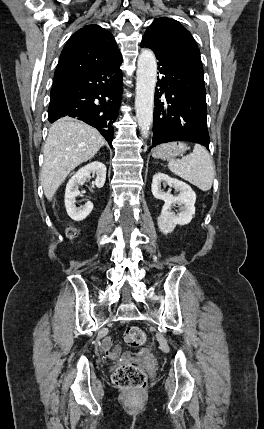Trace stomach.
<instances>
[{
    "label": "stomach",
    "mask_w": 264,
    "mask_h": 429,
    "mask_svg": "<svg viewBox=\"0 0 264 429\" xmlns=\"http://www.w3.org/2000/svg\"><path fill=\"white\" fill-rule=\"evenodd\" d=\"M187 150L184 142H169L161 144L154 149L153 157L161 159H172L182 155Z\"/></svg>",
    "instance_id": "1"
}]
</instances>
